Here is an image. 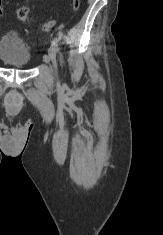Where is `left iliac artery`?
<instances>
[{
  "label": "left iliac artery",
  "instance_id": "44dca946",
  "mask_svg": "<svg viewBox=\"0 0 163 235\" xmlns=\"http://www.w3.org/2000/svg\"><path fill=\"white\" fill-rule=\"evenodd\" d=\"M52 46H54V47L56 48V51L59 50V48H58V43H57L56 40H53V41H52Z\"/></svg>",
  "mask_w": 163,
  "mask_h": 235
}]
</instances>
